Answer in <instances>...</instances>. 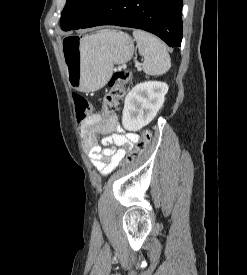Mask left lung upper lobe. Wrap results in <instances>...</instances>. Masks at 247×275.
Instances as JSON below:
<instances>
[{
	"label": "left lung upper lobe",
	"mask_w": 247,
	"mask_h": 275,
	"mask_svg": "<svg viewBox=\"0 0 247 275\" xmlns=\"http://www.w3.org/2000/svg\"><path fill=\"white\" fill-rule=\"evenodd\" d=\"M105 0H67L62 11L60 25L69 31L81 27Z\"/></svg>",
	"instance_id": "1"
}]
</instances>
